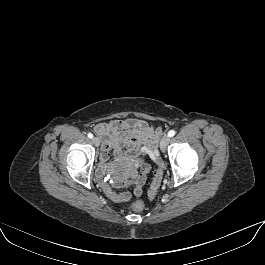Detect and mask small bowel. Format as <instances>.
Here are the masks:
<instances>
[{
  "mask_svg": "<svg viewBox=\"0 0 265 265\" xmlns=\"http://www.w3.org/2000/svg\"><path fill=\"white\" fill-rule=\"evenodd\" d=\"M103 142L100 153L99 175L101 176L108 168L110 151L120 160H129L141 171L133 175L132 180L114 178L112 185L122 187L133 186V194L141 196L150 172L147 159L158 161L157 141L161 134L159 128L150 126L146 121L137 118L113 119L97 124L94 128ZM101 186L107 196L116 203H122L130 199L131 194L127 191L118 192L110 185L101 181Z\"/></svg>",
  "mask_w": 265,
  "mask_h": 265,
  "instance_id": "small-bowel-1",
  "label": "small bowel"
}]
</instances>
